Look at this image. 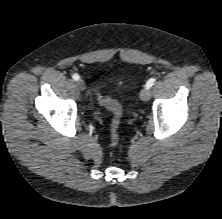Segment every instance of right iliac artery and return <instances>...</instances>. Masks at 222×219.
I'll return each mask as SVG.
<instances>
[{"label": "right iliac artery", "instance_id": "1", "mask_svg": "<svg viewBox=\"0 0 222 219\" xmlns=\"http://www.w3.org/2000/svg\"><path fill=\"white\" fill-rule=\"evenodd\" d=\"M72 78L77 81L79 79V75L78 74H73Z\"/></svg>", "mask_w": 222, "mask_h": 219}]
</instances>
